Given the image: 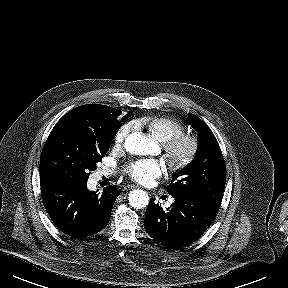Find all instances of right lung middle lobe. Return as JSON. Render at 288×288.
I'll use <instances>...</instances> for the list:
<instances>
[{"instance_id":"right-lung-middle-lobe-1","label":"right lung middle lobe","mask_w":288,"mask_h":288,"mask_svg":"<svg viewBox=\"0 0 288 288\" xmlns=\"http://www.w3.org/2000/svg\"><path fill=\"white\" fill-rule=\"evenodd\" d=\"M120 114L121 111L105 106L91 122L81 117L63 116L52 129L42 150L41 186L87 182L120 128ZM131 114L129 112L126 117Z\"/></svg>"}]
</instances>
